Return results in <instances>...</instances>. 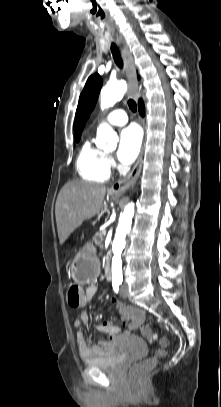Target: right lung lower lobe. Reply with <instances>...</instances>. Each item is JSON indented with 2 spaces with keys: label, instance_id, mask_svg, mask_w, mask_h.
Here are the masks:
<instances>
[{
  "label": "right lung lower lobe",
  "instance_id": "1",
  "mask_svg": "<svg viewBox=\"0 0 221 407\" xmlns=\"http://www.w3.org/2000/svg\"><path fill=\"white\" fill-rule=\"evenodd\" d=\"M138 107H139L140 114L143 115V113H144V104H143L142 100L139 101Z\"/></svg>",
  "mask_w": 221,
  "mask_h": 407
}]
</instances>
